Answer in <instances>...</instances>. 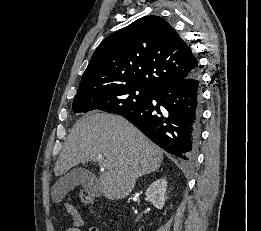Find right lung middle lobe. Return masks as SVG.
Here are the masks:
<instances>
[{"label":"right lung middle lobe","instance_id":"1","mask_svg":"<svg viewBox=\"0 0 261 231\" xmlns=\"http://www.w3.org/2000/svg\"><path fill=\"white\" fill-rule=\"evenodd\" d=\"M151 96L152 91L137 86L100 90L75 96L73 111L74 113H86L92 110H102L121 115L147 104Z\"/></svg>","mask_w":261,"mask_h":231}]
</instances>
